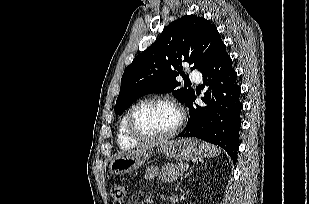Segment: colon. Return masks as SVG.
<instances>
[{
	"mask_svg": "<svg viewBox=\"0 0 309 204\" xmlns=\"http://www.w3.org/2000/svg\"><path fill=\"white\" fill-rule=\"evenodd\" d=\"M127 188L123 184L114 183L110 187V195L114 204H122L126 197Z\"/></svg>",
	"mask_w": 309,
	"mask_h": 204,
	"instance_id": "1",
	"label": "colon"
}]
</instances>
